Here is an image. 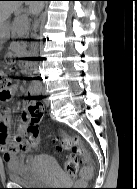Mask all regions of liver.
<instances>
[{
    "label": "liver",
    "instance_id": "1",
    "mask_svg": "<svg viewBox=\"0 0 137 189\" xmlns=\"http://www.w3.org/2000/svg\"><path fill=\"white\" fill-rule=\"evenodd\" d=\"M30 3L31 10L34 13L39 12L42 9L43 4L37 2ZM22 4V1H0V26L8 19L11 14L17 10Z\"/></svg>",
    "mask_w": 137,
    "mask_h": 189
}]
</instances>
